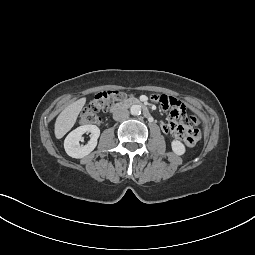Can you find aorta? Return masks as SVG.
<instances>
[{
    "instance_id": "aorta-1",
    "label": "aorta",
    "mask_w": 255,
    "mask_h": 255,
    "mask_svg": "<svg viewBox=\"0 0 255 255\" xmlns=\"http://www.w3.org/2000/svg\"><path fill=\"white\" fill-rule=\"evenodd\" d=\"M130 112L132 115H140L141 113V106L140 105H132L130 108Z\"/></svg>"
}]
</instances>
